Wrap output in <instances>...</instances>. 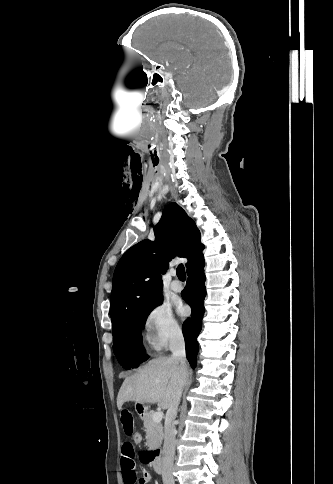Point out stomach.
Segmentation results:
<instances>
[{"label": "stomach", "mask_w": 333, "mask_h": 484, "mask_svg": "<svg viewBox=\"0 0 333 484\" xmlns=\"http://www.w3.org/2000/svg\"><path fill=\"white\" fill-rule=\"evenodd\" d=\"M135 409L140 416L145 415L147 411V407L144 404L139 403L136 404Z\"/></svg>", "instance_id": "0dacf381"}]
</instances>
